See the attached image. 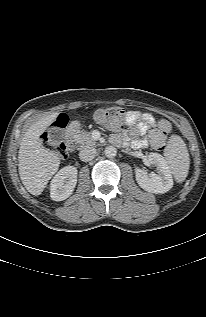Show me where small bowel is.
<instances>
[{"mask_svg":"<svg viewBox=\"0 0 206 317\" xmlns=\"http://www.w3.org/2000/svg\"><path fill=\"white\" fill-rule=\"evenodd\" d=\"M127 123L131 125L128 132L115 136L116 140L130 141L135 149L152 146L160 150L166 136L171 132V124L165 119L156 121L149 113L140 111L128 112Z\"/></svg>","mask_w":206,"mask_h":317,"instance_id":"obj_1","label":"small bowel"}]
</instances>
